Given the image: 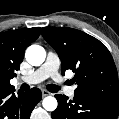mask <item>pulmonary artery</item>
Instances as JSON below:
<instances>
[{
    "label": "pulmonary artery",
    "instance_id": "e3ab8cb5",
    "mask_svg": "<svg viewBox=\"0 0 119 119\" xmlns=\"http://www.w3.org/2000/svg\"><path fill=\"white\" fill-rule=\"evenodd\" d=\"M60 66V60L56 53L48 52L45 62L33 73L23 76L20 81L27 84H36L44 81L45 79L52 77L55 81L63 84L64 79L58 73ZM67 94L72 97L74 95V87L66 88Z\"/></svg>",
    "mask_w": 119,
    "mask_h": 119
}]
</instances>
